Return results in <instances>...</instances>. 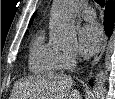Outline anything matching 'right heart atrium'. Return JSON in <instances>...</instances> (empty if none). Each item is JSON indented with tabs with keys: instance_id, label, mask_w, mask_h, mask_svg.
Here are the masks:
<instances>
[{
	"instance_id": "obj_1",
	"label": "right heart atrium",
	"mask_w": 115,
	"mask_h": 99,
	"mask_svg": "<svg viewBox=\"0 0 115 99\" xmlns=\"http://www.w3.org/2000/svg\"><path fill=\"white\" fill-rule=\"evenodd\" d=\"M61 68L71 70L77 63V55L73 51H64L60 55Z\"/></svg>"
}]
</instances>
